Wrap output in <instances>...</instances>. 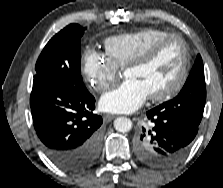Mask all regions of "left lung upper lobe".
<instances>
[{
  "mask_svg": "<svg viewBox=\"0 0 223 188\" xmlns=\"http://www.w3.org/2000/svg\"><path fill=\"white\" fill-rule=\"evenodd\" d=\"M206 100L204 67L198 54L192 70L180 93L172 100L156 107L169 117L199 125Z\"/></svg>",
  "mask_w": 223,
  "mask_h": 188,
  "instance_id": "5c2ea615",
  "label": "left lung upper lobe"
}]
</instances>
